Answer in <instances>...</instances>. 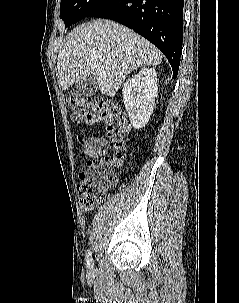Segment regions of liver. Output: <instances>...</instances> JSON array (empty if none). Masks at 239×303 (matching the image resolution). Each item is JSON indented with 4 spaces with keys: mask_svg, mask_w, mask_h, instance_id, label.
I'll use <instances>...</instances> for the list:
<instances>
[{
    "mask_svg": "<svg viewBox=\"0 0 239 303\" xmlns=\"http://www.w3.org/2000/svg\"><path fill=\"white\" fill-rule=\"evenodd\" d=\"M162 55L145 38L110 20H94L69 33L57 58L58 80L68 90L87 76L102 94L114 97L129 73L156 66Z\"/></svg>",
    "mask_w": 239,
    "mask_h": 303,
    "instance_id": "obj_1",
    "label": "liver"
}]
</instances>
